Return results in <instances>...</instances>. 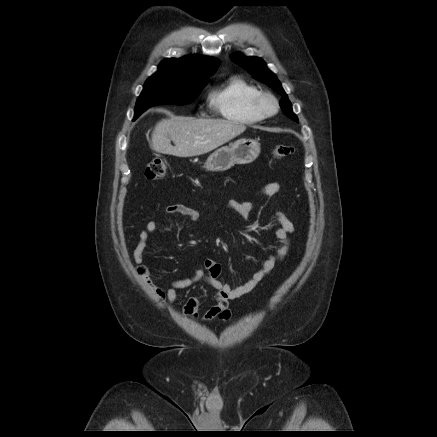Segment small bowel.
I'll list each match as a JSON object with an SVG mask.
<instances>
[{
	"mask_svg": "<svg viewBox=\"0 0 437 437\" xmlns=\"http://www.w3.org/2000/svg\"><path fill=\"white\" fill-rule=\"evenodd\" d=\"M280 191V185L277 182H271L264 185L259 193L263 196L271 197ZM230 209L237 212L240 216L249 218L253 202L249 199L237 201L230 200L227 205ZM164 216L180 214L191 221H196L199 218V213L196 209L184 204L169 205L163 210ZM278 226L275 229V236L281 242V246L275 254H271L262 263V266L256 271L250 280L245 284L231 287L220 279L221 268L220 264L214 260H205L203 266L198 269L192 277L175 280L166 290L150 284V288L154 294L160 299H165L170 305L173 304L178 296V290L185 289L198 281H205L217 290L215 296V304L209 307L202 315V320L210 321L218 318L226 321L231 317L230 301L238 299L250 293L277 265L278 262L284 259L289 251L290 241L289 234L294 231V224L290 218L281 211L276 212ZM158 227L155 220H150L145 225L144 229L139 234V241L134 250V258L137 264L143 262V253L147 246L148 239ZM146 278L147 275L145 274ZM200 301L197 297H190L183 305V312L192 318L198 317Z\"/></svg>",
	"mask_w": 437,
	"mask_h": 437,
	"instance_id": "small-bowel-1",
	"label": "small bowel"
}]
</instances>
